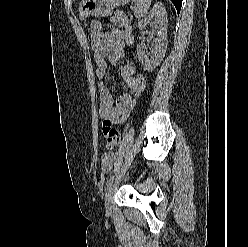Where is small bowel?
<instances>
[{"mask_svg": "<svg viewBox=\"0 0 248 247\" xmlns=\"http://www.w3.org/2000/svg\"><path fill=\"white\" fill-rule=\"evenodd\" d=\"M133 41L131 32L112 28L111 31L101 34H93L91 37V49L97 65L96 75L99 79L98 92L100 102V116L103 119V134L106 139V152L102 157V169L108 172L113 166V148L120 141V133L113 128V124L121 122V116L125 110L128 96L127 93H119L114 99L107 83L106 75L108 64H116L124 57L125 44ZM121 77L130 88L135 79L133 64L127 63L121 68ZM128 117V113L124 120Z\"/></svg>", "mask_w": 248, "mask_h": 247, "instance_id": "c3829d8e", "label": "small bowel"}]
</instances>
